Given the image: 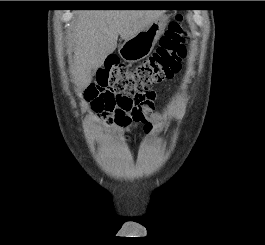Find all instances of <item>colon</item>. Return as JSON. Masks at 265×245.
I'll use <instances>...</instances> for the list:
<instances>
[{"label":"colon","instance_id":"5ec220e1","mask_svg":"<svg viewBox=\"0 0 265 245\" xmlns=\"http://www.w3.org/2000/svg\"><path fill=\"white\" fill-rule=\"evenodd\" d=\"M185 30L182 17H176L161 37L159 46L147 59L127 66L110 57L99 69L94 84L99 95L93 108L110 123H128L140 118L146 106L156 99L155 86L174 78L186 57Z\"/></svg>","mask_w":265,"mask_h":245}]
</instances>
